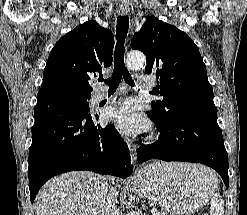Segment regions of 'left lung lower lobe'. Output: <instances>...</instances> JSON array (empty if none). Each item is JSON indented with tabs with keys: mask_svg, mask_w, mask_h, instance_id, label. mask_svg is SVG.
<instances>
[{
	"mask_svg": "<svg viewBox=\"0 0 247 215\" xmlns=\"http://www.w3.org/2000/svg\"><path fill=\"white\" fill-rule=\"evenodd\" d=\"M148 116L160 131V137L138 149V163L151 159L202 163L215 169L228 188V155L217 113L183 111L166 118L153 109Z\"/></svg>",
	"mask_w": 247,
	"mask_h": 215,
	"instance_id": "obj_1",
	"label": "left lung lower lobe"
}]
</instances>
